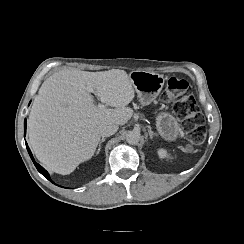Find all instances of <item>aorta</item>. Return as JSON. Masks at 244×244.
Instances as JSON below:
<instances>
[{"label":"aorta","mask_w":244,"mask_h":244,"mask_svg":"<svg viewBox=\"0 0 244 244\" xmlns=\"http://www.w3.org/2000/svg\"><path fill=\"white\" fill-rule=\"evenodd\" d=\"M126 141L131 145H136L140 141V133L137 131H129L126 134Z\"/></svg>","instance_id":"obj_1"}]
</instances>
